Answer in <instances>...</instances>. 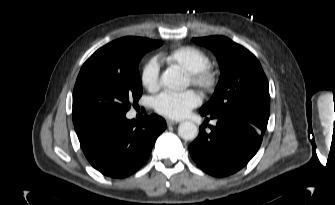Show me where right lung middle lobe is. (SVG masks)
I'll list each match as a JSON object with an SVG mask.
<instances>
[{"instance_id":"dd1d6c3e","label":"right lung middle lobe","mask_w":335,"mask_h":205,"mask_svg":"<svg viewBox=\"0 0 335 205\" xmlns=\"http://www.w3.org/2000/svg\"><path fill=\"white\" fill-rule=\"evenodd\" d=\"M161 45L160 41L146 38H121L108 49V53L117 51L123 56L118 66L100 60L79 74L73 91L74 125L126 114L131 103H136L142 95L140 59Z\"/></svg>"}]
</instances>
